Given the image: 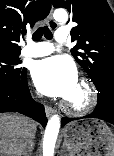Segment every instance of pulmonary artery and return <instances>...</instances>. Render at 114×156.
Instances as JSON below:
<instances>
[{"mask_svg": "<svg viewBox=\"0 0 114 156\" xmlns=\"http://www.w3.org/2000/svg\"><path fill=\"white\" fill-rule=\"evenodd\" d=\"M55 39L59 43H64L68 39V30L59 28L55 33ZM54 51L52 44L48 42H32L28 40L27 45L22 49L21 54L25 57H43Z\"/></svg>", "mask_w": 114, "mask_h": 156, "instance_id": "1", "label": "pulmonary artery"}]
</instances>
